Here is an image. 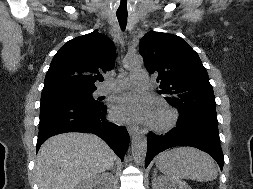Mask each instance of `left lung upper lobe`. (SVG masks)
<instances>
[{"label":"left lung upper lobe","instance_id":"left-lung-upper-lobe-1","mask_svg":"<svg viewBox=\"0 0 253 189\" xmlns=\"http://www.w3.org/2000/svg\"><path fill=\"white\" fill-rule=\"evenodd\" d=\"M140 54L159 92L179 112L216 115L213 88L198 54L179 36L150 31L141 38Z\"/></svg>","mask_w":253,"mask_h":189}]
</instances>
